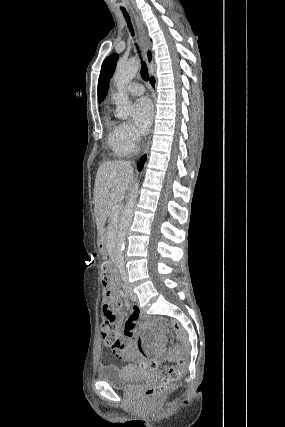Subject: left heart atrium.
I'll return each instance as SVG.
<instances>
[{
  "instance_id": "obj_1",
  "label": "left heart atrium",
  "mask_w": 285,
  "mask_h": 427,
  "mask_svg": "<svg viewBox=\"0 0 285 427\" xmlns=\"http://www.w3.org/2000/svg\"><path fill=\"white\" fill-rule=\"evenodd\" d=\"M134 121L140 133L148 131L153 120V107L147 98H140L134 104Z\"/></svg>"
}]
</instances>
